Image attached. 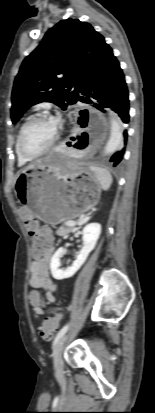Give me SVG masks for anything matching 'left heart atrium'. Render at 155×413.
<instances>
[{"label":"left heart atrium","mask_w":155,"mask_h":413,"mask_svg":"<svg viewBox=\"0 0 155 413\" xmlns=\"http://www.w3.org/2000/svg\"><path fill=\"white\" fill-rule=\"evenodd\" d=\"M52 122H53V124L55 125V127L57 128L58 127V125H59V118H53L52 119Z\"/></svg>","instance_id":"39dd6f15"}]
</instances>
